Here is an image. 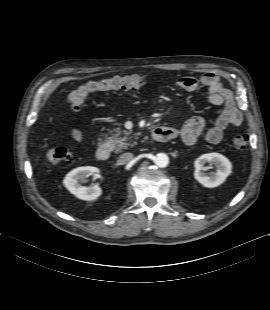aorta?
Returning a JSON list of instances; mask_svg holds the SVG:
<instances>
[{
  "mask_svg": "<svg viewBox=\"0 0 270 310\" xmlns=\"http://www.w3.org/2000/svg\"><path fill=\"white\" fill-rule=\"evenodd\" d=\"M155 164L160 168H165L169 164V158L165 153H159L155 157Z\"/></svg>",
  "mask_w": 270,
  "mask_h": 310,
  "instance_id": "aorta-1",
  "label": "aorta"
}]
</instances>
